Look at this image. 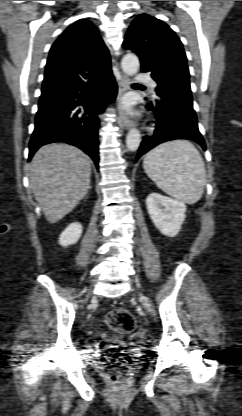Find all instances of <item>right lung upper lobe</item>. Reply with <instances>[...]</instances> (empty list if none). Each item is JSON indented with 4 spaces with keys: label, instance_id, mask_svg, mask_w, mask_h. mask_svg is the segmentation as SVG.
<instances>
[{
    "label": "right lung upper lobe",
    "instance_id": "obj_1",
    "mask_svg": "<svg viewBox=\"0 0 242 416\" xmlns=\"http://www.w3.org/2000/svg\"><path fill=\"white\" fill-rule=\"evenodd\" d=\"M110 70V55L97 28L88 20H79L53 44L42 91L86 81Z\"/></svg>",
    "mask_w": 242,
    "mask_h": 416
}]
</instances>
